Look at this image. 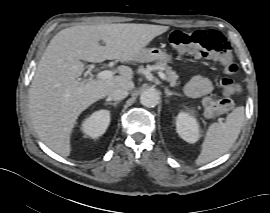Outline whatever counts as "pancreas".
Masks as SVG:
<instances>
[{
    "instance_id": "obj_1",
    "label": "pancreas",
    "mask_w": 270,
    "mask_h": 213,
    "mask_svg": "<svg viewBox=\"0 0 270 213\" xmlns=\"http://www.w3.org/2000/svg\"><path fill=\"white\" fill-rule=\"evenodd\" d=\"M156 68L166 72V79L170 83L171 87H176L179 85L178 75L175 71L172 70L170 66L167 65L166 62H158L156 63Z\"/></svg>"
}]
</instances>
